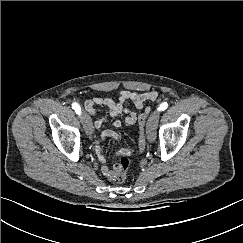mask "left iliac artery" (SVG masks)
<instances>
[{
    "instance_id": "obj_1",
    "label": "left iliac artery",
    "mask_w": 243,
    "mask_h": 243,
    "mask_svg": "<svg viewBox=\"0 0 243 243\" xmlns=\"http://www.w3.org/2000/svg\"><path fill=\"white\" fill-rule=\"evenodd\" d=\"M167 107H168L167 102H164V103L160 104V106L158 107V110L159 111H164V110L167 109Z\"/></svg>"
}]
</instances>
